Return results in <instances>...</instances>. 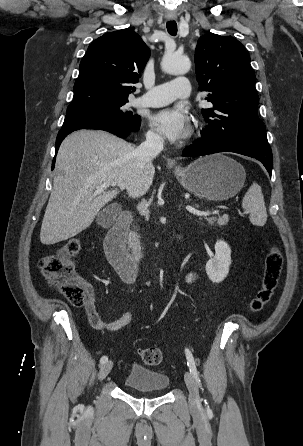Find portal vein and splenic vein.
Listing matches in <instances>:
<instances>
[{"label":"portal vein and splenic vein","mask_w":303,"mask_h":446,"mask_svg":"<svg viewBox=\"0 0 303 446\" xmlns=\"http://www.w3.org/2000/svg\"><path fill=\"white\" fill-rule=\"evenodd\" d=\"M110 185L114 186V183H112V184L110 182L103 183L100 187H98L95 190L94 194L95 195L100 194L102 191H104V189H106ZM186 210L188 212L194 214V215H197V216H209V215H211V212H209V211H199V210L195 209L194 207H192L190 205L186 206Z\"/></svg>","instance_id":"obj_1"}]
</instances>
